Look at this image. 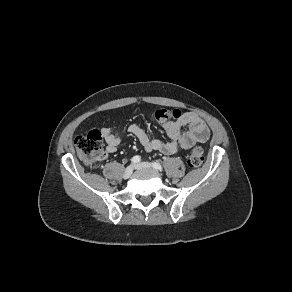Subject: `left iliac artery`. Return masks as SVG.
Returning a JSON list of instances; mask_svg holds the SVG:
<instances>
[{"instance_id": "obj_1", "label": "left iliac artery", "mask_w": 292, "mask_h": 292, "mask_svg": "<svg viewBox=\"0 0 292 292\" xmlns=\"http://www.w3.org/2000/svg\"><path fill=\"white\" fill-rule=\"evenodd\" d=\"M152 166H153L155 169L159 170V171H162V170H163V167H162L161 164L158 163V162H153V163H152Z\"/></svg>"}]
</instances>
